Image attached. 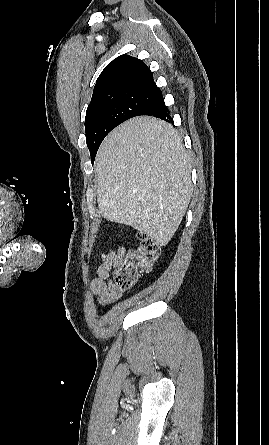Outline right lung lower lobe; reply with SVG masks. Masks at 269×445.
Listing matches in <instances>:
<instances>
[{"instance_id": "obj_1", "label": "right lung lower lobe", "mask_w": 269, "mask_h": 445, "mask_svg": "<svg viewBox=\"0 0 269 445\" xmlns=\"http://www.w3.org/2000/svg\"><path fill=\"white\" fill-rule=\"evenodd\" d=\"M156 88L160 91L158 87ZM138 115H150L168 122L171 121L170 111L165 106L161 91L160 96L155 101L149 103Z\"/></svg>"}]
</instances>
